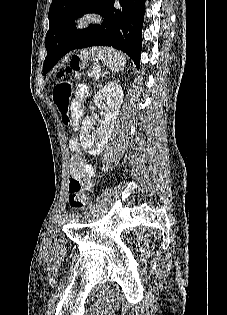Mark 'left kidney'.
<instances>
[{"label": "left kidney", "mask_w": 227, "mask_h": 315, "mask_svg": "<svg viewBox=\"0 0 227 315\" xmlns=\"http://www.w3.org/2000/svg\"><path fill=\"white\" fill-rule=\"evenodd\" d=\"M123 102V90L116 82H108L94 97V104L101 110L104 117L102 125L90 133L93 129L92 117L87 116L82 122L80 141L86 152L97 156L103 150L113 131L114 124Z\"/></svg>", "instance_id": "5707ae66"}]
</instances>
